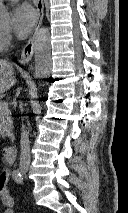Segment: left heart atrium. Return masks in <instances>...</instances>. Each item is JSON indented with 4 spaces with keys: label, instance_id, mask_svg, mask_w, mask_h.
Wrapping results in <instances>:
<instances>
[{
    "label": "left heart atrium",
    "instance_id": "obj_1",
    "mask_svg": "<svg viewBox=\"0 0 128 213\" xmlns=\"http://www.w3.org/2000/svg\"><path fill=\"white\" fill-rule=\"evenodd\" d=\"M12 22L15 35L19 39H24L36 22V14L28 4H21L13 9Z\"/></svg>",
    "mask_w": 128,
    "mask_h": 213
}]
</instances>
